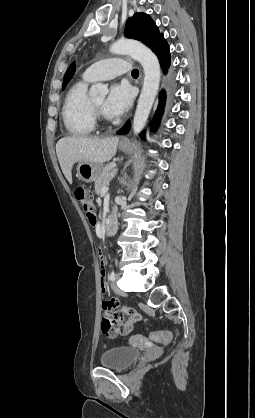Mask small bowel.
Segmentation results:
<instances>
[{"label": "small bowel", "mask_w": 255, "mask_h": 418, "mask_svg": "<svg viewBox=\"0 0 255 418\" xmlns=\"http://www.w3.org/2000/svg\"><path fill=\"white\" fill-rule=\"evenodd\" d=\"M99 246L96 249V254L98 256H103L105 254V249L103 248L104 243L100 242ZM100 283L102 292H105L106 285V274L102 266L100 271ZM118 307V302L115 299H104L103 300V309L105 314L103 315L101 322L102 332L110 338H114L117 335L128 334L134 327V325L140 321L141 316L131 308L124 307L121 311H116ZM126 317L124 324H121L123 318ZM118 322V326L114 327L115 322Z\"/></svg>", "instance_id": "1"}]
</instances>
